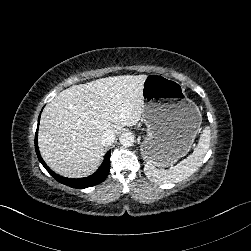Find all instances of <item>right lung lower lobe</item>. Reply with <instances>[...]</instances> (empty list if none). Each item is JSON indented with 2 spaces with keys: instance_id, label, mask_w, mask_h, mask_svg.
Instances as JSON below:
<instances>
[{
  "instance_id": "obj_1",
  "label": "right lung lower lobe",
  "mask_w": 251,
  "mask_h": 251,
  "mask_svg": "<svg viewBox=\"0 0 251 251\" xmlns=\"http://www.w3.org/2000/svg\"><path fill=\"white\" fill-rule=\"evenodd\" d=\"M39 121H40V116L38 119V126H39ZM38 126L35 134V150L36 154L38 156L39 161L42 163V165L45 167V169L50 173L51 176H53L58 182L65 184L67 186L77 188V189H82V188H87L91 186H95L97 184H100L103 182L106 177L109 174L110 170V154L111 152H107V154L104 157V161L99 167V169L92 175L85 177V178H80V179H69L65 178L62 176L57 175L54 173L43 161L42 157L40 156L39 148H38V141H37V134H38Z\"/></svg>"
}]
</instances>
